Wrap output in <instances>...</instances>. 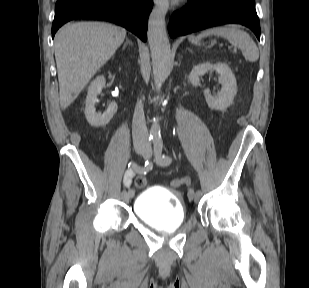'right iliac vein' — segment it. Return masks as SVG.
Wrapping results in <instances>:
<instances>
[{"mask_svg": "<svg viewBox=\"0 0 309 288\" xmlns=\"http://www.w3.org/2000/svg\"><path fill=\"white\" fill-rule=\"evenodd\" d=\"M135 151L140 154V155H143L144 157L147 155V150L144 148V147H141V146H137L135 148ZM132 197L129 196V193L127 192L126 194H124V199L126 201H128L129 199H131Z\"/></svg>", "mask_w": 309, "mask_h": 288, "instance_id": "obj_1", "label": "right iliac vein"}]
</instances>
